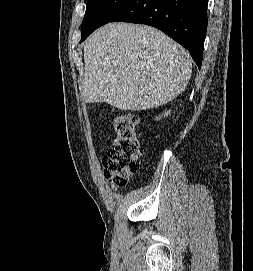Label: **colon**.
I'll return each instance as SVG.
<instances>
[{
    "label": "colon",
    "instance_id": "colon-1",
    "mask_svg": "<svg viewBox=\"0 0 253 271\" xmlns=\"http://www.w3.org/2000/svg\"><path fill=\"white\" fill-rule=\"evenodd\" d=\"M115 137L112 146L103 157L106 178L113 186L123 187L140 166L141 142L137 133V118L131 113H123L112 121Z\"/></svg>",
    "mask_w": 253,
    "mask_h": 271
}]
</instances>
